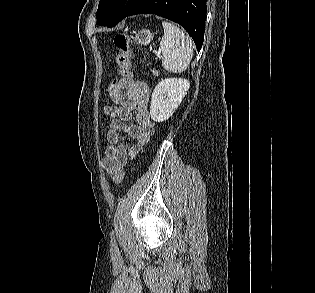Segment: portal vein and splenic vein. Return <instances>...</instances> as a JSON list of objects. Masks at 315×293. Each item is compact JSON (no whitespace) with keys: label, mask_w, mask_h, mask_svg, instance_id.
<instances>
[{"label":"portal vein and splenic vein","mask_w":315,"mask_h":293,"mask_svg":"<svg viewBox=\"0 0 315 293\" xmlns=\"http://www.w3.org/2000/svg\"><path fill=\"white\" fill-rule=\"evenodd\" d=\"M157 57H160V54H159V53H157Z\"/></svg>","instance_id":"obj_1"}]
</instances>
